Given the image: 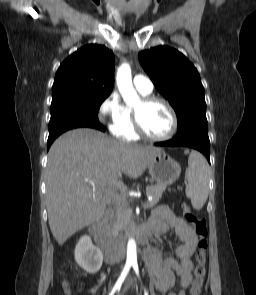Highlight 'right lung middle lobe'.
Returning <instances> with one entry per match:
<instances>
[{
    "instance_id": "right-lung-middle-lobe-1",
    "label": "right lung middle lobe",
    "mask_w": 256,
    "mask_h": 295,
    "mask_svg": "<svg viewBox=\"0 0 256 295\" xmlns=\"http://www.w3.org/2000/svg\"><path fill=\"white\" fill-rule=\"evenodd\" d=\"M107 97L63 99L51 103L49 126L69 121L97 119L100 105Z\"/></svg>"
}]
</instances>
